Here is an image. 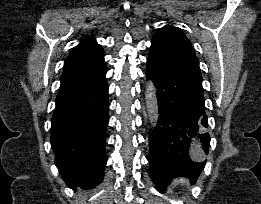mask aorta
Listing matches in <instances>:
<instances>
[{
    "label": "aorta",
    "instance_id": "obj_1",
    "mask_svg": "<svg viewBox=\"0 0 261 204\" xmlns=\"http://www.w3.org/2000/svg\"><path fill=\"white\" fill-rule=\"evenodd\" d=\"M146 108L149 123L155 126L158 120V101H157V90L152 80L146 83L145 90Z\"/></svg>",
    "mask_w": 261,
    "mask_h": 204
}]
</instances>
